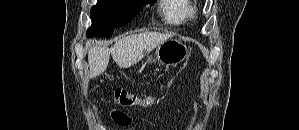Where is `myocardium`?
<instances>
[{
    "label": "myocardium",
    "instance_id": "1",
    "mask_svg": "<svg viewBox=\"0 0 299 130\" xmlns=\"http://www.w3.org/2000/svg\"><path fill=\"white\" fill-rule=\"evenodd\" d=\"M190 13H191V15L193 16V15H194V13H195V10H194V9H192Z\"/></svg>",
    "mask_w": 299,
    "mask_h": 130
}]
</instances>
